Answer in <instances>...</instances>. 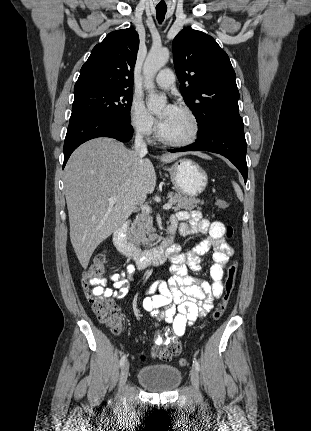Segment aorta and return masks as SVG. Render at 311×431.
Returning <instances> with one entry per match:
<instances>
[{
    "instance_id": "762f6f07",
    "label": "aorta",
    "mask_w": 311,
    "mask_h": 431,
    "mask_svg": "<svg viewBox=\"0 0 311 431\" xmlns=\"http://www.w3.org/2000/svg\"><path fill=\"white\" fill-rule=\"evenodd\" d=\"M170 54L167 48H158V50H150L143 66V76H144V88L148 92V102L147 108L152 110V112H158L161 108H164L167 102L166 94H155L154 78L169 62Z\"/></svg>"
}]
</instances>
